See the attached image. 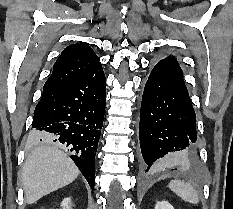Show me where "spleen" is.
Returning a JSON list of instances; mask_svg holds the SVG:
<instances>
[{"label": "spleen", "instance_id": "spleen-1", "mask_svg": "<svg viewBox=\"0 0 233 209\" xmlns=\"http://www.w3.org/2000/svg\"><path fill=\"white\" fill-rule=\"evenodd\" d=\"M169 188L176 193L181 199L197 204L199 202L198 193L188 183L181 180H173L169 183Z\"/></svg>", "mask_w": 233, "mask_h": 209}]
</instances>
